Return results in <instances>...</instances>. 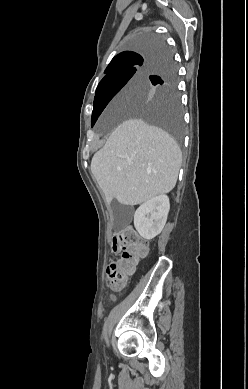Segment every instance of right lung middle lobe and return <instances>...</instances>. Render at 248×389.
<instances>
[{
    "instance_id": "1",
    "label": "right lung middle lobe",
    "mask_w": 248,
    "mask_h": 389,
    "mask_svg": "<svg viewBox=\"0 0 248 389\" xmlns=\"http://www.w3.org/2000/svg\"><path fill=\"white\" fill-rule=\"evenodd\" d=\"M163 47V43L156 38L147 39L142 45L145 53L153 48ZM160 59H163L160 61ZM150 75L152 85L148 90L151 93L150 101H135L128 105L132 116L141 118L145 122L167 131L178 143L182 142V112L179 96L176 90L177 70L170 52L161 55L157 65L142 67L134 64L108 73L98 84L94 98L91 126L110 100L128 83L138 86Z\"/></svg>"
}]
</instances>
